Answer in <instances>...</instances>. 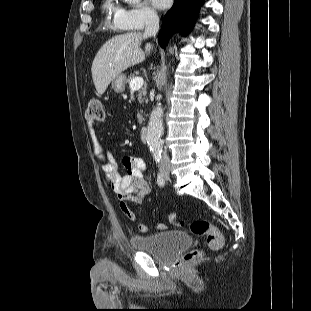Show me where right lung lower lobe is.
<instances>
[{
    "instance_id": "obj_1",
    "label": "right lung lower lobe",
    "mask_w": 311,
    "mask_h": 311,
    "mask_svg": "<svg viewBox=\"0 0 311 311\" xmlns=\"http://www.w3.org/2000/svg\"><path fill=\"white\" fill-rule=\"evenodd\" d=\"M203 3L204 0H174L173 7L163 18L162 30L158 35L161 47H165L175 31L185 35L191 30Z\"/></svg>"
}]
</instances>
